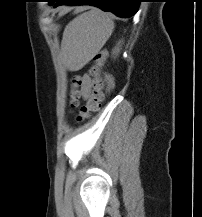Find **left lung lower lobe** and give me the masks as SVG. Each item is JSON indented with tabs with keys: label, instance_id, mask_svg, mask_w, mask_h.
I'll return each instance as SVG.
<instances>
[{
	"label": "left lung lower lobe",
	"instance_id": "left-lung-lower-lobe-1",
	"mask_svg": "<svg viewBox=\"0 0 202 217\" xmlns=\"http://www.w3.org/2000/svg\"><path fill=\"white\" fill-rule=\"evenodd\" d=\"M54 7L63 4H86L101 8L103 11H109L119 17L129 18L136 14L141 0H50Z\"/></svg>",
	"mask_w": 202,
	"mask_h": 217
}]
</instances>
